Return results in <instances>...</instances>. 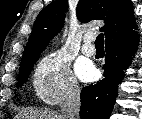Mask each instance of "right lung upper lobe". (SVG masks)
Wrapping results in <instances>:
<instances>
[{
  "instance_id": "cb5924a9",
  "label": "right lung upper lobe",
  "mask_w": 142,
  "mask_h": 119,
  "mask_svg": "<svg viewBox=\"0 0 142 119\" xmlns=\"http://www.w3.org/2000/svg\"><path fill=\"white\" fill-rule=\"evenodd\" d=\"M67 6L66 0H56L39 13L23 52L21 66L39 57L49 41L60 32ZM77 17L82 22L104 20L105 25L100 30L105 33L106 43L137 29L131 0H79Z\"/></svg>"
}]
</instances>
